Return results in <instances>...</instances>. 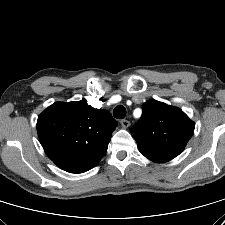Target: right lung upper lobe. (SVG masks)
Wrapping results in <instances>:
<instances>
[{"label": "right lung upper lobe", "instance_id": "cb5924a9", "mask_svg": "<svg viewBox=\"0 0 225 225\" xmlns=\"http://www.w3.org/2000/svg\"><path fill=\"white\" fill-rule=\"evenodd\" d=\"M117 125L107 110L84 100L56 102L38 117L37 132L45 153L59 168L83 173L101 160Z\"/></svg>", "mask_w": 225, "mask_h": 225}]
</instances>
